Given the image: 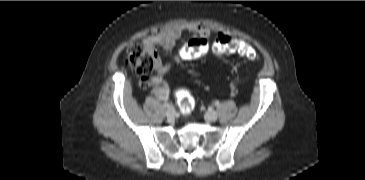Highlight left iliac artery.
<instances>
[{"mask_svg": "<svg viewBox=\"0 0 365 180\" xmlns=\"http://www.w3.org/2000/svg\"><path fill=\"white\" fill-rule=\"evenodd\" d=\"M215 105L218 107L220 105V103L218 101H216Z\"/></svg>", "mask_w": 365, "mask_h": 180, "instance_id": "1", "label": "left iliac artery"}]
</instances>
